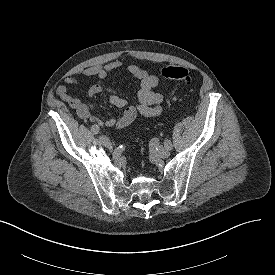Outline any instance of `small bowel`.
Here are the masks:
<instances>
[{"label":"small bowel","instance_id":"small-bowel-1","mask_svg":"<svg viewBox=\"0 0 275 275\" xmlns=\"http://www.w3.org/2000/svg\"><path fill=\"white\" fill-rule=\"evenodd\" d=\"M123 65L124 63L121 60H113L106 64L94 65L77 72L78 76L95 77L98 79L96 83L89 87L87 97L91 98L103 92H109V102L114 107L123 110L122 115L118 118H105L97 115L91 104L83 103L79 98L72 96L68 86L78 83L75 77H65L63 80L64 84L57 87L56 93L61 100L76 111L80 119L101 127L123 129L131 125L139 115L143 117H155L159 115L162 112V104L165 98L164 93L154 91V88L160 83L159 76L151 74L137 65L126 67V71L139 81L138 103L136 105H129L123 95L102 82Z\"/></svg>","mask_w":275,"mask_h":275}]
</instances>
